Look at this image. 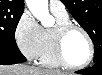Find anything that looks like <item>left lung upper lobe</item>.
<instances>
[{
	"mask_svg": "<svg viewBox=\"0 0 102 75\" xmlns=\"http://www.w3.org/2000/svg\"><path fill=\"white\" fill-rule=\"evenodd\" d=\"M61 1L92 39L95 46L94 62L102 61V1Z\"/></svg>",
	"mask_w": 102,
	"mask_h": 75,
	"instance_id": "5c2ea615",
	"label": "left lung upper lobe"
}]
</instances>
